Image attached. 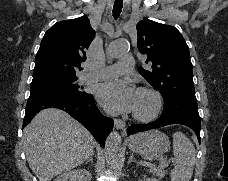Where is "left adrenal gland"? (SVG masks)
<instances>
[{"label": "left adrenal gland", "mask_w": 228, "mask_h": 181, "mask_svg": "<svg viewBox=\"0 0 228 181\" xmlns=\"http://www.w3.org/2000/svg\"><path fill=\"white\" fill-rule=\"evenodd\" d=\"M128 163H137V161H135V159L133 157V153H132L130 159H128Z\"/></svg>", "instance_id": "a2214340"}]
</instances>
